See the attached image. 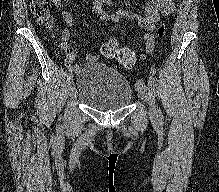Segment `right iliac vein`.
<instances>
[{
  "label": "right iliac vein",
  "instance_id": "obj_1",
  "mask_svg": "<svg viewBox=\"0 0 219 192\" xmlns=\"http://www.w3.org/2000/svg\"><path fill=\"white\" fill-rule=\"evenodd\" d=\"M68 86L71 90L70 96L73 98L74 97V91H73V80H72V78L68 79Z\"/></svg>",
  "mask_w": 219,
  "mask_h": 192
}]
</instances>
